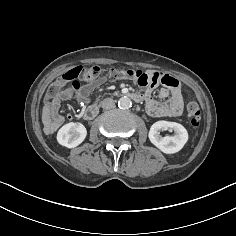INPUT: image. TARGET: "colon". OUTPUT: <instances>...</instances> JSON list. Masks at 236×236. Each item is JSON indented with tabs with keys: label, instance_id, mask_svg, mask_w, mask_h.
<instances>
[{
	"label": "colon",
	"instance_id": "1",
	"mask_svg": "<svg viewBox=\"0 0 236 236\" xmlns=\"http://www.w3.org/2000/svg\"><path fill=\"white\" fill-rule=\"evenodd\" d=\"M107 73L110 79H129L136 77L141 85L148 83V75L144 72H135L131 69H106L99 66H77L63 74L61 79L55 82L48 89V97L50 100L60 101L62 99L65 90H79L81 82L88 84L93 83L101 74ZM168 86H175L177 81L174 78L167 80ZM66 86V89L63 87ZM188 116L190 117V123L194 128L200 125L201 111L197 103L190 102L187 105Z\"/></svg>",
	"mask_w": 236,
	"mask_h": 236
}]
</instances>
